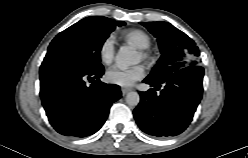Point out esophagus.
I'll list each match as a JSON object with an SVG mask.
<instances>
[{
    "instance_id": "34e87169",
    "label": "esophagus",
    "mask_w": 248,
    "mask_h": 158,
    "mask_svg": "<svg viewBox=\"0 0 248 158\" xmlns=\"http://www.w3.org/2000/svg\"><path fill=\"white\" fill-rule=\"evenodd\" d=\"M121 91H122V94L123 95H126L128 92L131 91V89L130 88L123 87V88H121Z\"/></svg>"
}]
</instances>
